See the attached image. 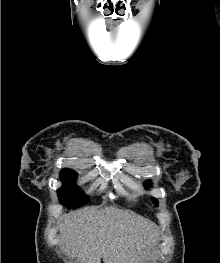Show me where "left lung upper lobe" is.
Listing matches in <instances>:
<instances>
[{"label":"left lung upper lobe","mask_w":220,"mask_h":263,"mask_svg":"<svg viewBox=\"0 0 220 263\" xmlns=\"http://www.w3.org/2000/svg\"><path fill=\"white\" fill-rule=\"evenodd\" d=\"M144 185H145V187H148V186H150V182H146ZM152 200H153V203L157 206V200L154 198H152Z\"/></svg>","instance_id":"5c2ea615"}]
</instances>
